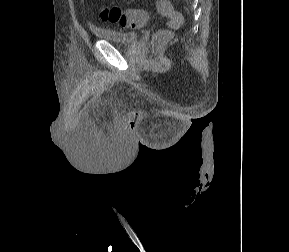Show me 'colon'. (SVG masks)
<instances>
[{
  "instance_id": "1",
  "label": "colon",
  "mask_w": 289,
  "mask_h": 252,
  "mask_svg": "<svg viewBox=\"0 0 289 252\" xmlns=\"http://www.w3.org/2000/svg\"><path fill=\"white\" fill-rule=\"evenodd\" d=\"M157 11L169 18V26L178 28L182 24V16L176 12L168 0H159ZM102 21L119 24L122 27H138L148 20V13L142 9L125 10L119 7L104 8L100 12ZM171 37L168 30H158L153 36V45L160 46L166 43Z\"/></svg>"
}]
</instances>
